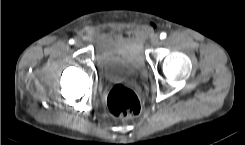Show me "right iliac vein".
<instances>
[{"mask_svg": "<svg viewBox=\"0 0 245 145\" xmlns=\"http://www.w3.org/2000/svg\"><path fill=\"white\" fill-rule=\"evenodd\" d=\"M75 46L76 47H81L82 46V41L80 39L75 40Z\"/></svg>", "mask_w": 245, "mask_h": 145, "instance_id": "1", "label": "right iliac vein"}]
</instances>
